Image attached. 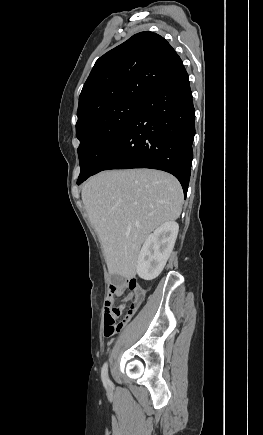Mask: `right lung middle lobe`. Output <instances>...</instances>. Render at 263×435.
<instances>
[{"instance_id": "1", "label": "right lung middle lobe", "mask_w": 263, "mask_h": 435, "mask_svg": "<svg viewBox=\"0 0 263 435\" xmlns=\"http://www.w3.org/2000/svg\"><path fill=\"white\" fill-rule=\"evenodd\" d=\"M143 102L123 99L105 104L89 113L76 127V136L80 141L78 155L81 167L77 184L94 174Z\"/></svg>"}]
</instances>
